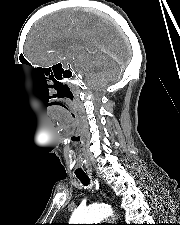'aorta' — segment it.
Segmentation results:
<instances>
[{
  "mask_svg": "<svg viewBox=\"0 0 180 225\" xmlns=\"http://www.w3.org/2000/svg\"><path fill=\"white\" fill-rule=\"evenodd\" d=\"M111 214L110 207L104 205L77 208L72 213L70 224H96Z\"/></svg>",
  "mask_w": 180,
  "mask_h": 225,
  "instance_id": "1",
  "label": "aorta"
}]
</instances>
